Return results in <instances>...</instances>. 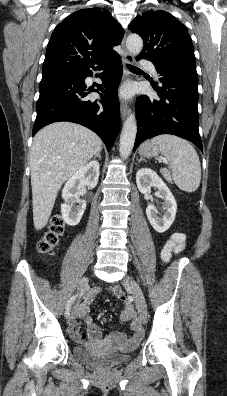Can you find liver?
Returning <instances> with one entry per match:
<instances>
[{"label":"liver","instance_id":"6515ba94","mask_svg":"<svg viewBox=\"0 0 227 396\" xmlns=\"http://www.w3.org/2000/svg\"><path fill=\"white\" fill-rule=\"evenodd\" d=\"M101 145L94 132L71 122L52 123L34 136L30 170L36 230L46 226L62 184L101 151Z\"/></svg>","mask_w":227,"mask_h":396}]
</instances>
